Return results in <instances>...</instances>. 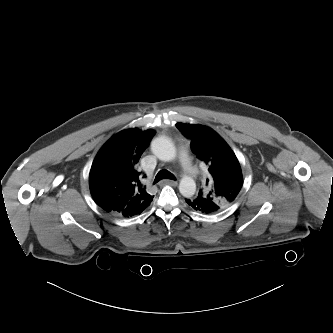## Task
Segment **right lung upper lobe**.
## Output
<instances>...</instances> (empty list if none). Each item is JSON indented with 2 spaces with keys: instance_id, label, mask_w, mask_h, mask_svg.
Here are the masks:
<instances>
[{
  "instance_id": "1",
  "label": "right lung upper lobe",
  "mask_w": 333,
  "mask_h": 333,
  "mask_svg": "<svg viewBox=\"0 0 333 333\" xmlns=\"http://www.w3.org/2000/svg\"><path fill=\"white\" fill-rule=\"evenodd\" d=\"M155 135L154 130H122L97 153L89 174L94 201L106 212L132 217L149 206L153 196L140 183L137 163Z\"/></svg>"
}]
</instances>
